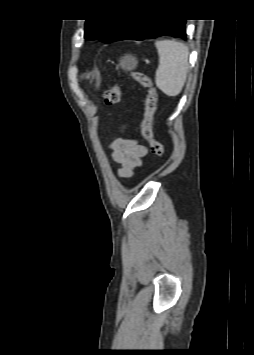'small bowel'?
I'll use <instances>...</instances> for the list:
<instances>
[{
  "label": "small bowel",
  "mask_w": 254,
  "mask_h": 355,
  "mask_svg": "<svg viewBox=\"0 0 254 355\" xmlns=\"http://www.w3.org/2000/svg\"><path fill=\"white\" fill-rule=\"evenodd\" d=\"M112 161L120 165L119 176L127 178L132 176L135 169L143 166V158L148 149L137 139L118 138L111 144Z\"/></svg>",
  "instance_id": "small-bowel-1"
}]
</instances>
